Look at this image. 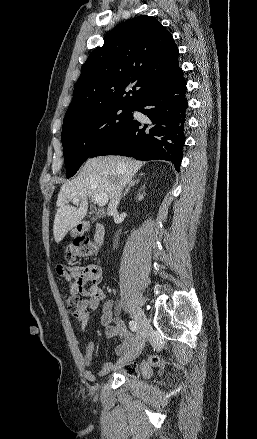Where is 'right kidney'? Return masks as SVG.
<instances>
[{"label": "right kidney", "mask_w": 257, "mask_h": 439, "mask_svg": "<svg viewBox=\"0 0 257 439\" xmlns=\"http://www.w3.org/2000/svg\"><path fill=\"white\" fill-rule=\"evenodd\" d=\"M138 199L142 200L143 199V195H139Z\"/></svg>", "instance_id": "right-kidney-1"}]
</instances>
